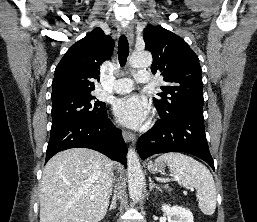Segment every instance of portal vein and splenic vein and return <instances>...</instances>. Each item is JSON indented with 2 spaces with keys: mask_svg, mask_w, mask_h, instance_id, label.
I'll list each match as a JSON object with an SVG mask.
<instances>
[{
  "mask_svg": "<svg viewBox=\"0 0 257 222\" xmlns=\"http://www.w3.org/2000/svg\"><path fill=\"white\" fill-rule=\"evenodd\" d=\"M94 198H95L94 196H91V197H90V199H92V200H93Z\"/></svg>",
  "mask_w": 257,
  "mask_h": 222,
  "instance_id": "portal-vein-and-splenic-vein-1",
  "label": "portal vein and splenic vein"
}]
</instances>
